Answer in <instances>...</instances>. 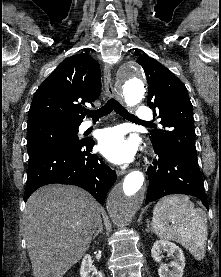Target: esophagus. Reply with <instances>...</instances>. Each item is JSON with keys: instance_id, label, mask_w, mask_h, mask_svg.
<instances>
[{"instance_id": "1", "label": "esophagus", "mask_w": 221, "mask_h": 277, "mask_svg": "<svg viewBox=\"0 0 221 277\" xmlns=\"http://www.w3.org/2000/svg\"><path fill=\"white\" fill-rule=\"evenodd\" d=\"M104 84L105 90L108 96L115 97L118 101H122V96L120 93L116 92L113 87V82L111 78V66L109 64H105L104 66ZM118 176L124 175L126 173L125 170H117Z\"/></svg>"}]
</instances>
